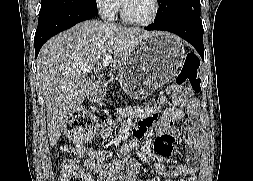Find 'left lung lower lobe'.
Returning <instances> with one entry per match:
<instances>
[{"label": "left lung lower lobe", "instance_id": "left-lung-lower-lobe-1", "mask_svg": "<svg viewBox=\"0 0 253 181\" xmlns=\"http://www.w3.org/2000/svg\"><path fill=\"white\" fill-rule=\"evenodd\" d=\"M147 30L172 32L191 43L204 60L203 26L200 17H180L164 22H154Z\"/></svg>", "mask_w": 253, "mask_h": 181}]
</instances>
